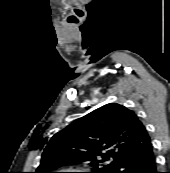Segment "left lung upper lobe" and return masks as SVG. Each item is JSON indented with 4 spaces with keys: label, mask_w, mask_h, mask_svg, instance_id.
<instances>
[{
    "label": "left lung upper lobe",
    "mask_w": 170,
    "mask_h": 173,
    "mask_svg": "<svg viewBox=\"0 0 170 173\" xmlns=\"http://www.w3.org/2000/svg\"><path fill=\"white\" fill-rule=\"evenodd\" d=\"M149 143L151 139L133 111L106 104L56 133L35 173H54L52 170L78 161H89L90 173H113L126 155Z\"/></svg>",
    "instance_id": "left-lung-upper-lobe-1"
}]
</instances>
